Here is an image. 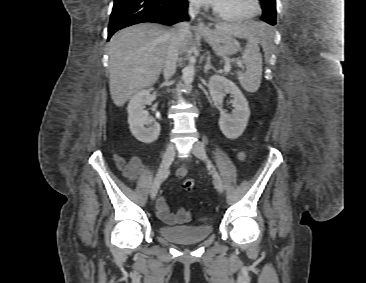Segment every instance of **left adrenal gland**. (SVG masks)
Listing matches in <instances>:
<instances>
[{
  "label": "left adrenal gland",
  "mask_w": 366,
  "mask_h": 283,
  "mask_svg": "<svg viewBox=\"0 0 366 283\" xmlns=\"http://www.w3.org/2000/svg\"><path fill=\"white\" fill-rule=\"evenodd\" d=\"M209 70L216 71V69L211 65L210 56L207 57L206 65L204 66V73L208 74Z\"/></svg>",
  "instance_id": "1"
}]
</instances>
